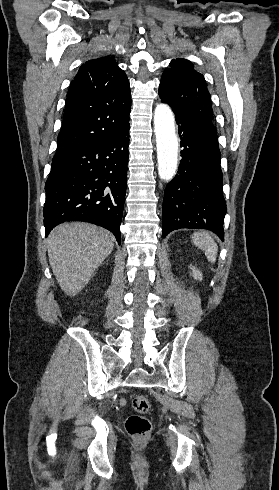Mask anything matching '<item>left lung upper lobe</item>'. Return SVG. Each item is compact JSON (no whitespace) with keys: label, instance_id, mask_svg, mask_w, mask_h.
I'll return each instance as SVG.
<instances>
[{"label":"left lung upper lobe","instance_id":"left-lung-upper-lobe-1","mask_svg":"<svg viewBox=\"0 0 279 490\" xmlns=\"http://www.w3.org/2000/svg\"><path fill=\"white\" fill-rule=\"evenodd\" d=\"M159 96L173 111L213 122L211 96L202 74L190 61L177 58L162 74Z\"/></svg>","mask_w":279,"mask_h":490}]
</instances>
